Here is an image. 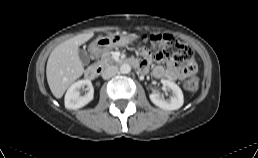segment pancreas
Masks as SVG:
<instances>
[{
    "label": "pancreas",
    "instance_id": "1",
    "mask_svg": "<svg viewBox=\"0 0 258 158\" xmlns=\"http://www.w3.org/2000/svg\"><path fill=\"white\" fill-rule=\"evenodd\" d=\"M115 62L116 61L111 56V53L109 51H106L101 55L100 59L96 62V65L105 68Z\"/></svg>",
    "mask_w": 258,
    "mask_h": 158
}]
</instances>
